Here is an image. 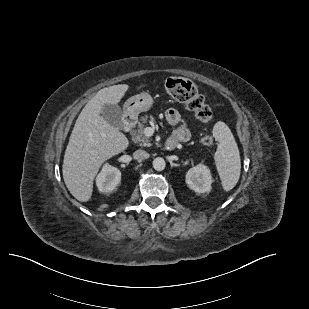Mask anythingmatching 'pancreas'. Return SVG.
Returning <instances> with one entry per match:
<instances>
[{
    "label": "pancreas",
    "mask_w": 309,
    "mask_h": 309,
    "mask_svg": "<svg viewBox=\"0 0 309 309\" xmlns=\"http://www.w3.org/2000/svg\"><path fill=\"white\" fill-rule=\"evenodd\" d=\"M147 118L142 117L141 122L138 123V127L135 130H132V140L135 143H138L140 146H150V139L144 134V129L146 127Z\"/></svg>",
    "instance_id": "1"
}]
</instances>
